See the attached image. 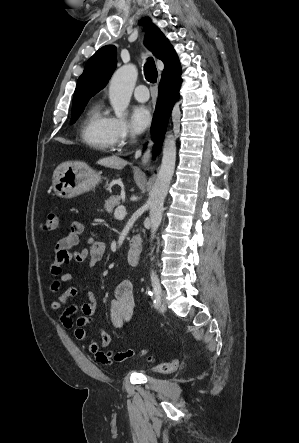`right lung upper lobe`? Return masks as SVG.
I'll return each instance as SVG.
<instances>
[{
	"label": "right lung upper lobe",
	"mask_w": 299,
	"mask_h": 443,
	"mask_svg": "<svg viewBox=\"0 0 299 443\" xmlns=\"http://www.w3.org/2000/svg\"><path fill=\"white\" fill-rule=\"evenodd\" d=\"M145 45L154 56L163 61L165 68L162 77L181 73L177 54L163 33L148 19ZM117 63L116 47L107 45L100 48L86 63L79 77L73 97V106L88 102L108 83ZM72 106V107H73Z\"/></svg>",
	"instance_id": "right-lung-upper-lobe-1"
}]
</instances>
